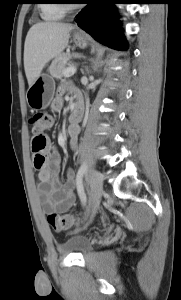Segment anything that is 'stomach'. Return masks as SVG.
<instances>
[{"mask_svg": "<svg viewBox=\"0 0 181 300\" xmlns=\"http://www.w3.org/2000/svg\"><path fill=\"white\" fill-rule=\"evenodd\" d=\"M73 41L79 48H85L88 44L87 37L80 33L73 34ZM55 91V83L51 76L42 74L29 87L26 95L27 103L33 110H42L49 106Z\"/></svg>", "mask_w": 181, "mask_h": 300, "instance_id": "1", "label": "stomach"}]
</instances>
